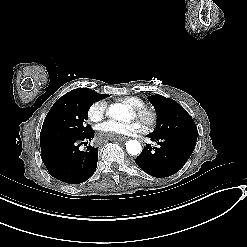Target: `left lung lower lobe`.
Here are the masks:
<instances>
[{
  "instance_id": "obj_1",
  "label": "left lung lower lobe",
  "mask_w": 247,
  "mask_h": 247,
  "mask_svg": "<svg viewBox=\"0 0 247 247\" xmlns=\"http://www.w3.org/2000/svg\"><path fill=\"white\" fill-rule=\"evenodd\" d=\"M159 147L150 144L135 159L136 164L147 174L162 178L178 172L194 151L196 141L186 138L154 137L148 135Z\"/></svg>"
}]
</instances>
